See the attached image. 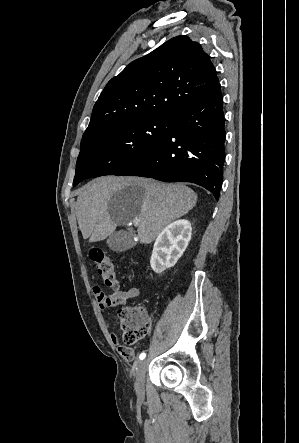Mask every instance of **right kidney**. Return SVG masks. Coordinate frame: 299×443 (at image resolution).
Instances as JSON below:
<instances>
[{"label": "right kidney", "instance_id": "obj_1", "mask_svg": "<svg viewBox=\"0 0 299 443\" xmlns=\"http://www.w3.org/2000/svg\"><path fill=\"white\" fill-rule=\"evenodd\" d=\"M192 234L188 220H177L169 224L158 235L150 259L151 268L157 274L174 266L185 251Z\"/></svg>", "mask_w": 299, "mask_h": 443}]
</instances>
